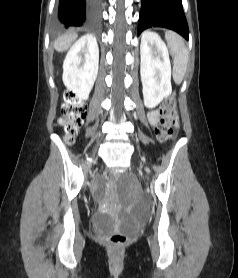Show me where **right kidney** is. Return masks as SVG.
Listing matches in <instances>:
<instances>
[{"label": "right kidney", "instance_id": "ca27d5eb", "mask_svg": "<svg viewBox=\"0 0 238 278\" xmlns=\"http://www.w3.org/2000/svg\"><path fill=\"white\" fill-rule=\"evenodd\" d=\"M84 53V63L81 65ZM99 48L92 35L81 37L68 51L63 63V82L80 99L87 100L98 73Z\"/></svg>", "mask_w": 238, "mask_h": 278}]
</instances>
